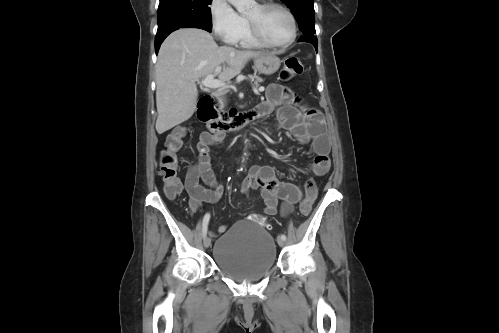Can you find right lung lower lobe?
<instances>
[{"label":"right lung lower lobe","mask_w":499,"mask_h":333,"mask_svg":"<svg viewBox=\"0 0 499 333\" xmlns=\"http://www.w3.org/2000/svg\"><path fill=\"white\" fill-rule=\"evenodd\" d=\"M179 28H200L204 29L208 32H211V27L202 25V24H191V25H182V26H176L172 27L169 29H166L162 32H157L156 38H155V51L156 54L158 53V50L160 48L161 43L164 41V39L173 31L179 29Z\"/></svg>","instance_id":"right-lung-lower-lobe-1"}]
</instances>
